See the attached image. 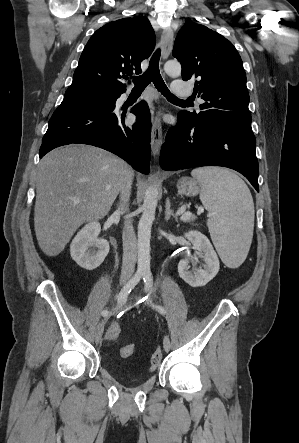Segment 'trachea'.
I'll list each match as a JSON object with an SVG mask.
<instances>
[{"label": "trachea", "mask_w": 299, "mask_h": 443, "mask_svg": "<svg viewBox=\"0 0 299 443\" xmlns=\"http://www.w3.org/2000/svg\"><path fill=\"white\" fill-rule=\"evenodd\" d=\"M160 54H161L160 49H157L150 59L148 69L142 75L135 77L133 79L134 82L133 90L142 92L151 82H153L157 90L161 92V94L164 95L168 100L173 102H189V99L181 100L177 98L167 88L166 84L164 83L161 77L159 70Z\"/></svg>", "instance_id": "1"}]
</instances>
